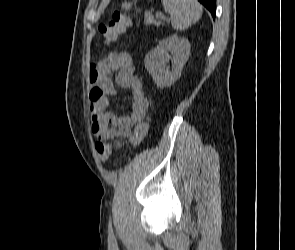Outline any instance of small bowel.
<instances>
[{
	"label": "small bowel",
	"mask_w": 295,
	"mask_h": 250,
	"mask_svg": "<svg viewBox=\"0 0 295 250\" xmlns=\"http://www.w3.org/2000/svg\"><path fill=\"white\" fill-rule=\"evenodd\" d=\"M113 81L130 91L128 115L118 116L108 110L115 95ZM89 83L91 128L97 142H128L133 145L134 127L145 121L149 101L141 80L135 75L131 55L122 51L109 53L91 66Z\"/></svg>",
	"instance_id": "small-bowel-1"
}]
</instances>
